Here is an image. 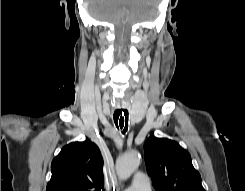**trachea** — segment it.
Segmentation results:
<instances>
[{
  "label": "trachea",
  "instance_id": "obj_1",
  "mask_svg": "<svg viewBox=\"0 0 245 191\" xmlns=\"http://www.w3.org/2000/svg\"><path fill=\"white\" fill-rule=\"evenodd\" d=\"M128 117L129 113L125 107H119L114 112L115 125L122 134H125L128 130Z\"/></svg>",
  "mask_w": 245,
  "mask_h": 191
}]
</instances>
